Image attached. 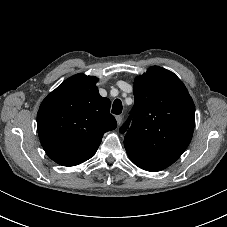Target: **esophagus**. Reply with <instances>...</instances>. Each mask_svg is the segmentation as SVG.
I'll return each instance as SVG.
<instances>
[{
	"label": "esophagus",
	"instance_id": "1",
	"mask_svg": "<svg viewBox=\"0 0 227 227\" xmlns=\"http://www.w3.org/2000/svg\"><path fill=\"white\" fill-rule=\"evenodd\" d=\"M117 124L120 125L122 123L123 117L121 115H117L116 117Z\"/></svg>",
	"mask_w": 227,
	"mask_h": 227
}]
</instances>
